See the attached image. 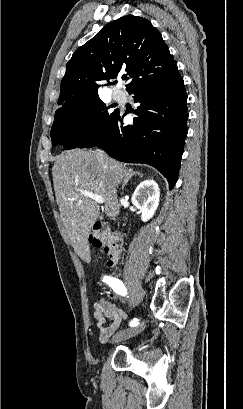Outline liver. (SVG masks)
Listing matches in <instances>:
<instances>
[{
    "label": "liver",
    "instance_id": "6515ba94",
    "mask_svg": "<svg viewBox=\"0 0 243 409\" xmlns=\"http://www.w3.org/2000/svg\"><path fill=\"white\" fill-rule=\"evenodd\" d=\"M133 173L108 156L101 163L95 152L80 149L64 151L56 158L52 168L56 202L67 238L78 254L89 250L88 236L100 212L97 202L79 190L102 196L106 215L115 220L120 210L116 188Z\"/></svg>",
    "mask_w": 243,
    "mask_h": 409
}]
</instances>
